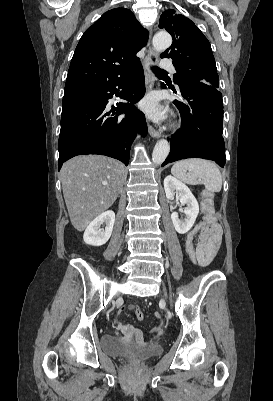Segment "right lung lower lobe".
<instances>
[{
	"mask_svg": "<svg viewBox=\"0 0 273 401\" xmlns=\"http://www.w3.org/2000/svg\"><path fill=\"white\" fill-rule=\"evenodd\" d=\"M123 89L119 103L108 112V99ZM145 94L144 72L137 63L128 73L93 91L63 103L58 141V170L68 159L82 154H101L128 165L130 147L137 134H147L144 114L133 104ZM125 113L124 117L106 116Z\"/></svg>",
	"mask_w": 273,
	"mask_h": 401,
	"instance_id": "98d812e1",
	"label": "right lung lower lobe"
}]
</instances>
